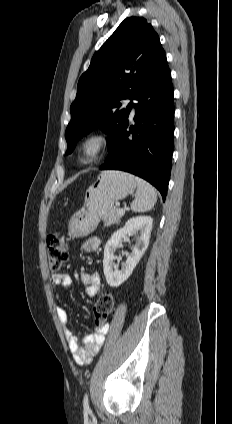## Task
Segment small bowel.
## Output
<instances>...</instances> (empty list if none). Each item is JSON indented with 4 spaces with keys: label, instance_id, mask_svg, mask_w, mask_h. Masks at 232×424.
Segmentation results:
<instances>
[{
    "label": "small bowel",
    "instance_id": "1",
    "mask_svg": "<svg viewBox=\"0 0 232 424\" xmlns=\"http://www.w3.org/2000/svg\"><path fill=\"white\" fill-rule=\"evenodd\" d=\"M100 245V239L90 237L86 239L82 245V251L85 253L95 252ZM54 286L61 289H68L71 286V278L67 274L55 273L51 277ZM80 280L86 287V294L89 297H95L100 291V277L96 272H81ZM56 315L59 322L65 326L64 335L73 355L75 362L79 365H88L99 352L104 343L105 334L109 329V325L105 324L94 333L88 334L83 338V345L80 344L78 337L72 329L67 325L70 320L69 312L61 307H56Z\"/></svg>",
    "mask_w": 232,
    "mask_h": 424
}]
</instances>
